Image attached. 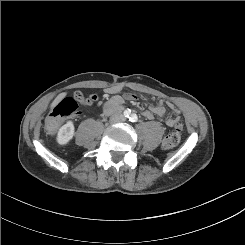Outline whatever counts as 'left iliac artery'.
<instances>
[{
	"mask_svg": "<svg viewBox=\"0 0 245 245\" xmlns=\"http://www.w3.org/2000/svg\"><path fill=\"white\" fill-rule=\"evenodd\" d=\"M131 122H136L138 120V117L136 114H132L131 117L129 118Z\"/></svg>",
	"mask_w": 245,
	"mask_h": 245,
	"instance_id": "obj_1",
	"label": "left iliac artery"
}]
</instances>
